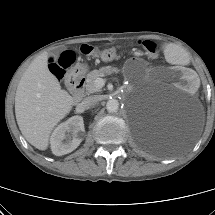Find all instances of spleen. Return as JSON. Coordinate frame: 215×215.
Returning <instances> with one entry per match:
<instances>
[{"instance_id":"obj_1","label":"spleen","mask_w":215,"mask_h":215,"mask_svg":"<svg viewBox=\"0 0 215 215\" xmlns=\"http://www.w3.org/2000/svg\"><path fill=\"white\" fill-rule=\"evenodd\" d=\"M166 60L173 64L189 65L191 63V56L186 53L184 47H175L169 44L165 48Z\"/></svg>"}]
</instances>
